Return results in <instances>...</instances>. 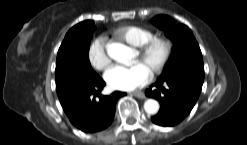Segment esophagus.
Instances as JSON below:
<instances>
[{"label": "esophagus", "mask_w": 247, "mask_h": 145, "mask_svg": "<svg viewBox=\"0 0 247 145\" xmlns=\"http://www.w3.org/2000/svg\"><path fill=\"white\" fill-rule=\"evenodd\" d=\"M133 95L135 97L139 98V99H144L145 98V94L142 91H135V92H133Z\"/></svg>", "instance_id": "1"}]
</instances>
